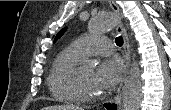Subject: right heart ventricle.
I'll list each match as a JSON object with an SVG mask.
<instances>
[{
  "label": "right heart ventricle",
  "mask_w": 171,
  "mask_h": 110,
  "mask_svg": "<svg viewBox=\"0 0 171 110\" xmlns=\"http://www.w3.org/2000/svg\"><path fill=\"white\" fill-rule=\"evenodd\" d=\"M84 56L73 46L64 48L54 59L47 79L52 96L59 102L79 101L70 86V76Z\"/></svg>",
  "instance_id": "obj_1"
}]
</instances>
